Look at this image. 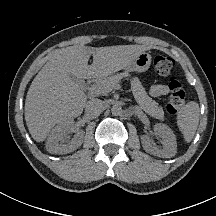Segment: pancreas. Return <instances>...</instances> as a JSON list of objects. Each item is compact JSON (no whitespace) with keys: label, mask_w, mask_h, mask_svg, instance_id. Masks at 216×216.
<instances>
[{"label":"pancreas","mask_w":216,"mask_h":216,"mask_svg":"<svg viewBox=\"0 0 216 216\" xmlns=\"http://www.w3.org/2000/svg\"><path fill=\"white\" fill-rule=\"evenodd\" d=\"M130 78V75L127 72L116 74L109 77H104L97 80L96 86L103 88L104 92L107 93L115 89L119 85V82L122 78ZM131 88L136 102L139 106L150 116L163 120L164 111L163 108L158 106V103L150 98L145 89L143 88L141 82L138 78H131Z\"/></svg>","instance_id":"cf45deb5"}]
</instances>
